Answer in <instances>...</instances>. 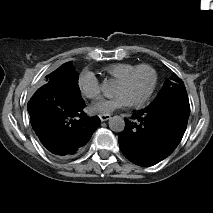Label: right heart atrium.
Listing matches in <instances>:
<instances>
[{"instance_id":"1","label":"right heart atrium","mask_w":213,"mask_h":213,"mask_svg":"<svg viewBox=\"0 0 213 213\" xmlns=\"http://www.w3.org/2000/svg\"><path fill=\"white\" fill-rule=\"evenodd\" d=\"M78 84L83 95L91 99L99 98L103 90L97 75L89 70L80 75Z\"/></svg>"}]
</instances>
